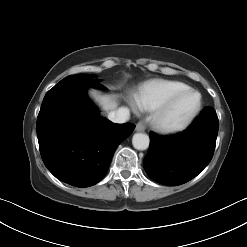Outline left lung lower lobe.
Returning <instances> with one entry per match:
<instances>
[{"label":"left lung lower lobe","mask_w":247,"mask_h":247,"mask_svg":"<svg viewBox=\"0 0 247 247\" xmlns=\"http://www.w3.org/2000/svg\"><path fill=\"white\" fill-rule=\"evenodd\" d=\"M218 125L215 110L207 106L183 133L169 137L150 133V146L143 161L146 173L164 185L190 181L211 161Z\"/></svg>","instance_id":"1"}]
</instances>
